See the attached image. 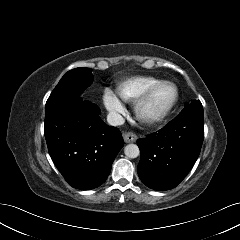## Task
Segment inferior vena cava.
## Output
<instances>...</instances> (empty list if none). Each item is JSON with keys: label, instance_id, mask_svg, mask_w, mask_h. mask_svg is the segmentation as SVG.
Listing matches in <instances>:
<instances>
[{"label": "inferior vena cava", "instance_id": "inferior-vena-cava-1", "mask_svg": "<svg viewBox=\"0 0 240 240\" xmlns=\"http://www.w3.org/2000/svg\"><path fill=\"white\" fill-rule=\"evenodd\" d=\"M107 122L112 126H119V125H123L125 120L119 113L110 112L107 115Z\"/></svg>", "mask_w": 240, "mask_h": 240}]
</instances>
